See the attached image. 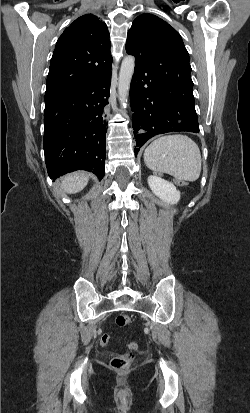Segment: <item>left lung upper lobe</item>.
Masks as SVG:
<instances>
[{
    "label": "left lung upper lobe",
    "instance_id": "5c2ea615",
    "mask_svg": "<svg viewBox=\"0 0 250 413\" xmlns=\"http://www.w3.org/2000/svg\"><path fill=\"white\" fill-rule=\"evenodd\" d=\"M144 52L146 66L155 75L169 74L180 81L191 80L189 54L179 33L152 14H142L132 23L126 51Z\"/></svg>",
    "mask_w": 250,
    "mask_h": 413
}]
</instances>
